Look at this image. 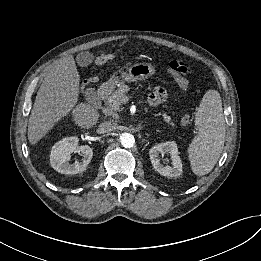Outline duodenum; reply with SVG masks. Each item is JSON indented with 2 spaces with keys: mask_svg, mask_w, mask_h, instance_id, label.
<instances>
[{
  "mask_svg": "<svg viewBox=\"0 0 261 261\" xmlns=\"http://www.w3.org/2000/svg\"><path fill=\"white\" fill-rule=\"evenodd\" d=\"M109 87H110V85L108 82H104L99 86L98 92H97V98L99 101H102L104 99V97L107 95V93L109 91Z\"/></svg>",
  "mask_w": 261,
  "mask_h": 261,
  "instance_id": "duodenum-1",
  "label": "duodenum"
}]
</instances>
